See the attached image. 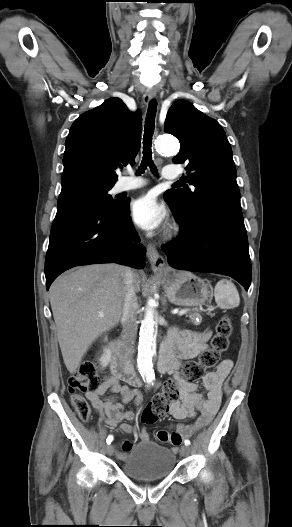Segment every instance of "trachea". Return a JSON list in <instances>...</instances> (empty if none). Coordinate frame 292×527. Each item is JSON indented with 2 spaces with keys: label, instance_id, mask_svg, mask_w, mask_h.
<instances>
[{
  "label": "trachea",
  "instance_id": "obj_1",
  "mask_svg": "<svg viewBox=\"0 0 292 527\" xmlns=\"http://www.w3.org/2000/svg\"><path fill=\"white\" fill-rule=\"evenodd\" d=\"M157 111V103L155 100H152L149 104L148 112L146 115V121L144 126V136H143V159L141 162V166L139 167L138 173H144L147 166L150 167V169L153 172H156V168L152 161V136L154 133V127H155V116Z\"/></svg>",
  "mask_w": 292,
  "mask_h": 527
}]
</instances>
